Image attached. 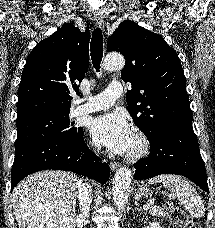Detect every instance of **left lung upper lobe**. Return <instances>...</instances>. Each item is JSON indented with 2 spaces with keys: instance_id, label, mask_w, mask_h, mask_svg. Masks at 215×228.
<instances>
[{
  "instance_id": "1",
  "label": "left lung upper lobe",
  "mask_w": 215,
  "mask_h": 228,
  "mask_svg": "<svg viewBox=\"0 0 215 228\" xmlns=\"http://www.w3.org/2000/svg\"><path fill=\"white\" fill-rule=\"evenodd\" d=\"M107 49L125 57L121 77L132 85L128 111L149 141L162 127L192 122L180 59L160 35L125 20L109 37Z\"/></svg>"
}]
</instances>
